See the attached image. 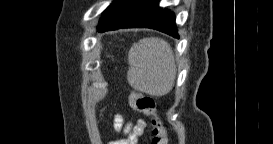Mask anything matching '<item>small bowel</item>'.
<instances>
[{"mask_svg": "<svg viewBox=\"0 0 273 144\" xmlns=\"http://www.w3.org/2000/svg\"><path fill=\"white\" fill-rule=\"evenodd\" d=\"M115 127L120 128L122 119L121 117H116L114 119ZM146 128V122L143 120H139L132 128L127 131V137L121 141V144H136L138 138L144 133Z\"/></svg>", "mask_w": 273, "mask_h": 144, "instance_id": "c3829d8e", "label": "small bowel"}]
</instances>
